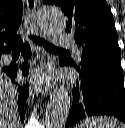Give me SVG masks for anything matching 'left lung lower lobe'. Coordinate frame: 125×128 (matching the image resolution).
I'll return each instance as SVG.
<instances>
[{
	"instance_id": "1",
	"label": "left lung lower lobe",
	"mask_w": 125,
	"mask_h": 128,
	"mask_svg": "<svg viewBox=\"0 0 125 128\" xmlns=\"http://www.w3.org/2000/svg\"><path fill=\"white\" fill-rule=\"evenodd\" d=\"M61 66H70L61 59ZM73 102L65 128L94 115H112L125 123V89L121 68L96 69L89 73L77 70Z\"/></svg>"
}]
</instances>
